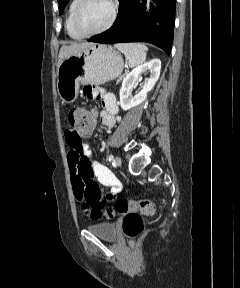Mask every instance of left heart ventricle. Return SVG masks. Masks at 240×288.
Returning a JSON list of instances; mask_svg holds the SVG:
<instances>
[{
  "label": "left heart ventricle",
  "instance_id": "b2bd125f",
  "mask_svg": "<svg viewBox=\"0 0 240 288\" xmlns=\"http://www.w3.org/2000/svg\"><path fill=\"white\" fill-rule=\"evenodd\" d=\"M110 14L109 0H88L79 15V25L86 32L98 30L106 24Z\"/></svg>",
  "mask_w": 240,
  "mask_h": 288
}]
</instances>
